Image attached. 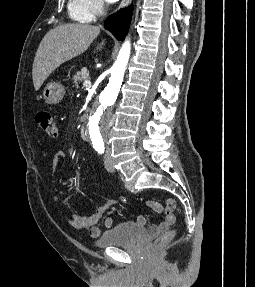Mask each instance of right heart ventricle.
<instances>
[{
    "label": "right heart ventricle",
    "mask_w": 255,
    "mask_h": 287,
    "mask_svg": "<svg viewBox=\"0 0 255 287\" xmlns=\"http://www.w3.org/2000/svg\"><path fill=\"white\" fill-rule=\"evenodd\" d=\"M86 33H100V32H86ZM87 39H93V38H87ZM108 39H112V38H108ZM106 48H120V47H106Z\"/></svg>",
    "instance_id": "obj_1"
}]
</instances>
